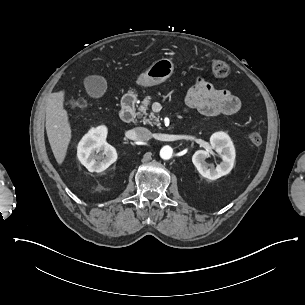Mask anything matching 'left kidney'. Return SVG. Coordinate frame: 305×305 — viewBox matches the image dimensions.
I'll use <instances>...</instances> for the list:
<instances>
[{"instance_id":"left-kidney-1","label":"left kidney","mask_w":305,"mask_h":305,"mask_svg":"<svg viewBox=\"0 0 305 305\" xmlns=\"http://www.w3.org/2000/svg\"><path fill=\"white\" fill-rule=\"evenodd\" d=\"M211 148L221 157L220 164L216 167L205 162L212 155L210 150H198L192 157V162L198 172L207 179L215 180L231 171L235 152L229 137L224 133H216L210 138Z\"/></svg>"}]
</instances>
